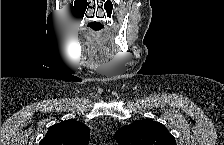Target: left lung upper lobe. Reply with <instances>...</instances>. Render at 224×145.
I'll return each instance as SVG.
<instances>
[{"label": "left lung upper lobe", "mask_w": 224, "mask_h": 145, "mask_svg": "<svg viewBox=\"0 0 224 145\" xmlns=\"http://www.w3.org/2000/svg\"><path fill=\"white\" fill-rule=\"evenodd\" d=\"M119 145H176L166 127L150 119L122 127L114 135Z\"/></svg>", "instance_id": "1"}]
</instances>
